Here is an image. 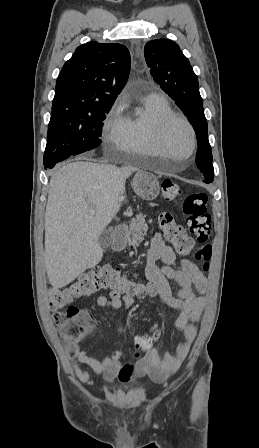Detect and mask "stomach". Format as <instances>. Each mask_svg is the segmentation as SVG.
Here are the masks:
<instances>
[{
    "mask_svg": "<svg viewBox=\"0 0 259 448\" xmlns=\"http://www.w3.org/2000/svg\"><path fill=\"white\" fill-rule=\"evenodd\" d=\"M125 234H126L125 238H127V240H128L129 236H128L127 230H126Z\"/></svg>",
    "mask_w": 259,
    "mask_h": 448,
    "instance_id": "1",
    "label": "stomach"
}]
</instances>
